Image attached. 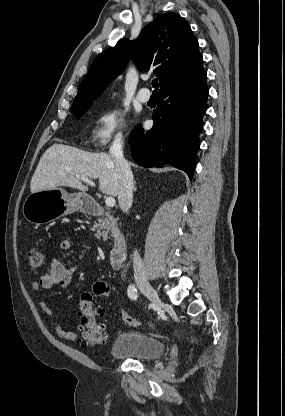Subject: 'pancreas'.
Listing matches in <instances>:
<instances>
[{"mask_svg":"<svg viewBox=\"0 0 285 416\" xmlns=\"http://www.w3.org/2000/svg\"><path fill=\"white\" fill-rule=\"evenodd\" d=\"M110 214L111 212H106V222L98 220L93 226L94 230L97 228V234H95L96 238H103L104 242H106L109 232H116L117 230V220H114L113 216H110Z\"/></svg>","mask_w":285,"mask_h":416,"instance_id":"cf45deb5","label":"pancreas"}]
</instances>
